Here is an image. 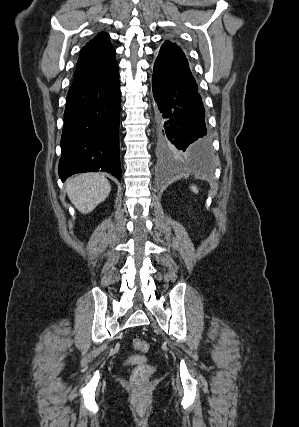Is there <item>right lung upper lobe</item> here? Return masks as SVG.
<instances>
[{"instance_id": "cb5924a9", "label": "right lung upper lobe", "mask_w": 299, "mask_h": 427, "mask_svg": "<svg viewBox=\"0 0 299 427\" xmlns=\"http://www.w3.org/2000/svg\"><path fill=\"white\" fill-rule=\"evenodd\" d=\"M117 69L115 49L102 32L82 48L72 86L102 80Z\"/></svg>"}]
</instances>
